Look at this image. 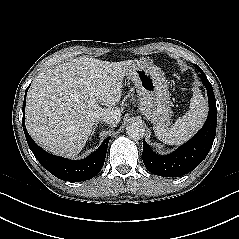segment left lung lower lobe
I'll list each match as a JSON object with an SVG mask.
<instances>
[{"label": "left lung lower lobe", "mask_w": 239, "mask_h": 239, "mask_svg": "<svg viewBox=\"0 0 239 239\" xmlns=\"http://www.w3.org/2000/svg\"><path fill=\"white\" fill-rule=\"evenodd\" d=\"M207 89L209 114L202 129L188 142L169 155L155 154L143 140V162L149 172L163 177H180L194 170L209 153L216 134L217 108L213 88L202 80Z\"/></svg>", "instance_id": "0a47b994"}]
</instances>
